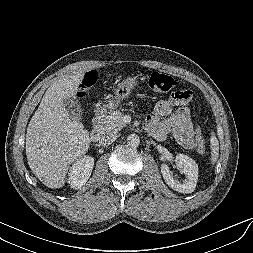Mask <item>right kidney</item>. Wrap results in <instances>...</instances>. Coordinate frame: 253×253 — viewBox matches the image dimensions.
<instances>
[{
  "instance_id": "right-kidney-1",
  "label": "right kidney",
  "mask_w": 253,
  "mask_h": 253,
  "mask_svg": "<svg viewBox=\"0 0 253 253\" xmlns=\"http://www.w3.org/2000/svg\"><path fill=\"white\" fill-rule=\"evenodd\" d=\"M94 166V159L90 156H84L77 159L69 171L68 183L73 189H80L89 177Z\"/></svg>"
}]
</instances>
